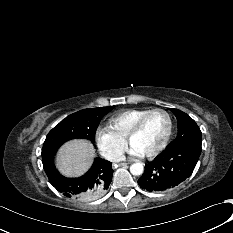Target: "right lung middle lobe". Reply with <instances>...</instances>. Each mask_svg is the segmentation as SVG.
Returning <instances> with one entry per match:
<instances>
[{
  "mask_svg": "<svg viewBox=\"0 0 233 233\" xmlns=\"http://www.w3.org/2000/svg\"><path fill=\"white\" fill-rule=\"evenodd\" d=\"M114 106L90 108L76 112L55 126L47 135L42 148V161L53 158L57 149L66 141L75 138L95 142V133L100 120Z\"/></svg>",
  "mask_w": 233,
  "mask_h": 233,
  "instance_id": "obj_1",
  "label": "right lung middle lobe"
}]
</instances>
